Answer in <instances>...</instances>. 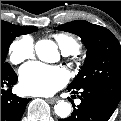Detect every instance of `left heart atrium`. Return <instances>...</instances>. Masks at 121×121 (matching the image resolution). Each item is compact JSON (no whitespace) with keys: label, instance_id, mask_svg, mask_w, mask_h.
Listing matches in <instances>:
<instances>
[{"label":"left heart atrium","instance_id":"1","mask_svg":"<svg viewBox=\"0 0 121 121\" xmlns=\"http://www.w3.org/2000/svg\"><path fill=\"white\" fill-rule=\"evenodd\" d=\"M22 89L32 95H51L67 82V73L58 66L32 62L21 68Z\"/></svg>","mask_w":121,"mask_h":121}]
</instances>
